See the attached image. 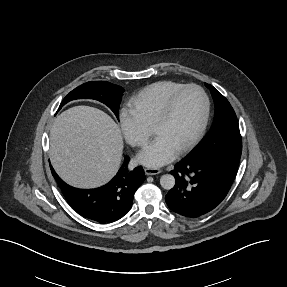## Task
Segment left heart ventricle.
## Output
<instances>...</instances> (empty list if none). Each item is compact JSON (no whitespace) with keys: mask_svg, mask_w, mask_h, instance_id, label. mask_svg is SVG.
<instances>
[{"mask_svg":"<svg viewBox=\"0 0 287 287\" xmlns=\"http://www.w3.org/2000/svg\"><path fill=\"white\" fill-rule=\"evenodd\" d=\"M202 112L203 101L199 92L187 90L177 97L169 118L155 129L154 134L163 137L178 150L197 129Z\"/></svg>","mask_w":287,"mask_h":287,"instance_id":"b2bd125f","label":"left heart ventricle"}]
</instances>
